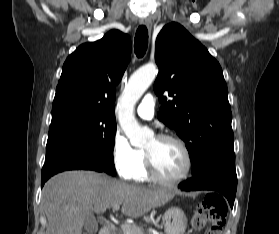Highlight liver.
<instances>
[{"label":"liver","mask_w":279,"mask_h":234,"mask_svg":"<svg viewBox=\"0 0 279 234\" xmlns=\"http://www.w3.org/2000/svg\"><path fill=\"white\" fill-rule=\"evenodd\" d=\"M174 194L161 189L130 185L93 171H67L52 177L42 190L47 217L45 234H82L87 215L104 213L115 204L138 218L164 205Z\"/></svg>","instance_id":"6515ba94"}]
</instances>
